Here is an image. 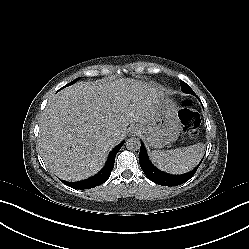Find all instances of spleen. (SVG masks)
<instances>
[{
	"instance_id": "1",
	"label": "spleen",
	"mask_w": 249,
	"mask_h": 249,
	"mask_svg": "<svg viewBox=\"0 0 249 249\" xmlns=\"http://www.w3.org/2000/svg\"><path fill=\"white\" fill-rule=\"evenodd\" d=\"M205 144L177 148L167 151H152L150 158L152 163L161 171L173 174L178 170H190L199 164L203 157Z\"/></svg>"
}]
</instances>
